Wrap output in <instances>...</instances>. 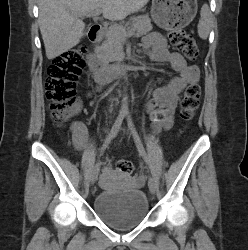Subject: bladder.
Returning a JSON list of instances; mask_svg holds the SVG:
<instances>
[{
	"instance_id": "31cf9c89",
	"label": "bladder",
	"mask_w": 248,
	"mask_h": 250,
	"mask_svg": "<svg viewBox=\"0 0 248 250\" xmlns=\"http://www.w3.org/2000/svg\"><path fill=\"white\" fill-rule=\"evenodd\" d=\"M94 211L110 227L128 230L146 218L149 201L139 189H109L97 195L94 200Z\"/></svg>"
}]
</instances>
